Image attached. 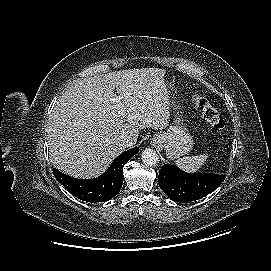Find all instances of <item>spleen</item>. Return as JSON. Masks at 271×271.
Listing matches in <instances>:
<instances>
[{
    "label": "spleen",
    "mask_w": 271,
    "mask_h": 271,
    "mask_svg": "<svg viewBox=\"0 0 271 271\" xmlns=\"http://www.w3.org/2000/svg\"><path fill=\"white\" fill-rule=\"evenodd\" d=\"M208 156L205 154L192 156V157H183L175 161V164L182 170L188 173H194L200 170V168L207 161Z\"/></svg>",
    "instance_id": "spleen-1"
}]
</instances>
